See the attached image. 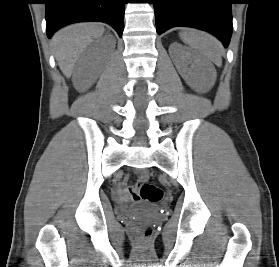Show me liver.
<instances>
[{
	"instance_id": "1",
	"label": "liver",
	"mask_w": 279,
	"mask_h": 267,
	"mask_svg": "<svg viewBox=\"0 0 279 267\" xmlns=\"http://www.w3.org/2000/svg\"><path fill=\"white\" fill-rule=\"evenodd\" d=\"M105 29L99 23L70 25L54 34L52 42L55 58L66 77L73 73L75 63L94 39L101 37Z\"/></svg>"
}]
</instances>
